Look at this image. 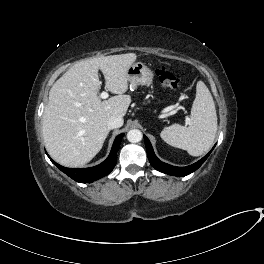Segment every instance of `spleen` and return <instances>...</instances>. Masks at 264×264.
<instances>
[{
  "label": "spleen",
  "mask_w": 264,
  "mask_h": 264,
  "mask_svg": "<svg viewBox=\"0 0 264 264\" xmlns=\"http://www.w3.org/2000/svg\"><path fill=\"white\" fill-rule=\"evenodd\" d=\"M217 132V114L213 97L203 81L196 85V97L191 108L190 126L173 124L160 133L169 145L200 156L212 146Z\"/></svg>",
  "instance_id": "spleen-1"
}]
</instances>
